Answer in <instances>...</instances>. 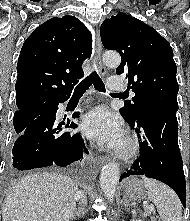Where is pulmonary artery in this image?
Segmentation results:
<instances>
[{
	"mask_svg": "<svg viewBox=\"0 0 190 221\" xmlns=\"http://www.w3.org/2000/svg\"><path fill=\"white\" fill-rule=\"evenodd\" d=\"M107 86L110 90L114 91H121L124 88L122 80L118 77L109 78L107 81Z\"/></svg>",
	"mask_w": 190,
	"mask_h": 221,
	"instance_id": "1",
	"label": "pulmonary artery"
}]
</instances>
